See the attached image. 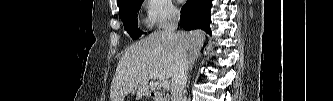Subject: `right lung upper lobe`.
Wrapping results in <instances>:
<instances>
[{
    "mask_svg": "<svg viewBox=\"0 0 333 101\" xmlns=\"http://www.w3.org/2000/svg\"><path fill=\"white\" fill-rule=\"evenodd\" d=\"M121 0H117V2L119 3Z\"/></svg>",
    "mask_w": 333,
    "mask_h": 101,
    "instance_id": "cb5924a9",
    "label": "right lung upper lobe"
}]
</instances>
